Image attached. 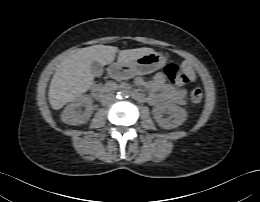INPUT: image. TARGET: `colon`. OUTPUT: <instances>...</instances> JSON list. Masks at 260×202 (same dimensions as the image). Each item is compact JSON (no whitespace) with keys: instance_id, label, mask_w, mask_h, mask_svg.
Returning <instances> with one entry per match:
<instances>
[{"instance_id":"5ec220e1","label":"colon","mask_w":260,"mask_h":202,"mask_svg":"<svg viewBox=\"0 0 260 202\" xmlns=\"http://www.w3.org/2000/svg\"><path fill=\"white\" fill-rule=\"evenodd\" d=\"M165 75L176 86H182L189 81L188 76L176 64H168L165 68ZM190 99L195 104L200 103L203 99L202 90L193 89L190 93Z\"/></svg>"}]
</instances>
